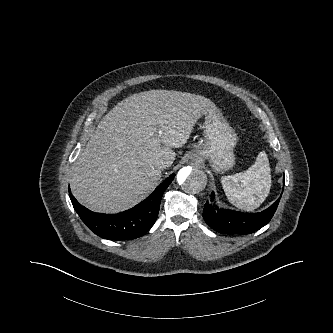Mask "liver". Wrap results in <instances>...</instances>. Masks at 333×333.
Returning a JSON list of instances; mask_svg holds the SVG:
<instances>
[{
  "mask_svg": "<svg viewBox=\"0 0 333 333\" xmlns=\"http://www.w3.org/2000/svg\"><path fill=\"white\" fill-rule=\"evenodd\" d=\"M216 106L196 94L150 90L129 96L105 115L72 167V195L101 213L127 210L148 196L201 116Z\"/></svg>",
  "mask_w": 333,
  "mask_h": 333,
  "instance_id": "1",
  "label": "liver"
}]
</instances>
